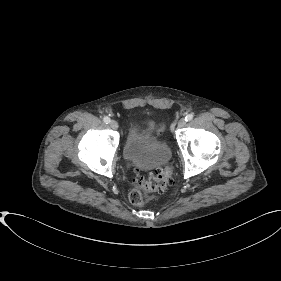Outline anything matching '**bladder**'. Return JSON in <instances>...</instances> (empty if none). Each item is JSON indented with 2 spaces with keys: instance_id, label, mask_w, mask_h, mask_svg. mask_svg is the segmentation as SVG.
<instances>
[{
  "instance_id": "bladder-1",
  "label": "bladder",
  "mask_w": 281,
  "mask_h": 281,
  "mask_svg": "<svg viewBox=\"0 0 281 281\" xmlns=\"http://www.w3.org/2000/svg\"><path fill=\"white\" fill-rule=\"evenodd\" d=\"M154 121L132 129L124 144V158L132 166L153 169L167 164L172 157L170 146L153 134Z\"/></svg>"
}]
</instances>
